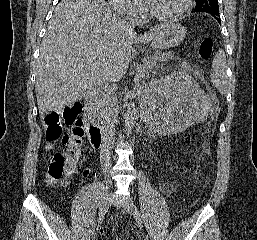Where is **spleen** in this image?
Listing matches in <instances>:
<instances>
[{
  "mask_svg": "<svg viewBox=\"0 0 257 240\" xmlns=\"http://www.w3.org/2000/svg\"><path fill=\"white\" fill-rule=\"evenodd\" d=\"M212 74L211 81L213 85L224 94L227 91V75H226V57L222 49H220L215 55L212 62ZM187 126V125H186Z\"/></svg>",
  "mask_w": 257,
  "mask_h": 240,
  "instance_id": "3e777b00",
  "label": "spleen"
}]
</instances>
